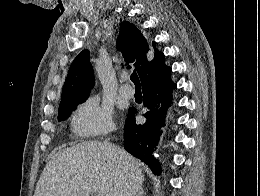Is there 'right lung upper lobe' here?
Returning a JSON list of instances; mask_svg holds the SVG:
<instances>
[{"label": "right lung upper lobe", "instance_id": "cb5924a9", "mask_svg": "<svg viewBox=\"0 0 260 196\" xmlns=\"http://www.w3.org/2000/svg\"><path fill=\"white\" fill-rule=\"evenodd\" d=\"M153 48L155 54L151 60V45L138 28L129 22L120 23L117 50L122 53L127 64H133L142 84L158 79L171 70V67L165 65L164 54L156 49L155 42H153ZM89 59L88 50H83L74 59L63 86L59 110L76 100L89 96L94 86V73Z\"/></svg>", "mask_w": 260, "mask_h": 196}]
</instances>
